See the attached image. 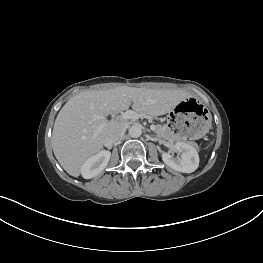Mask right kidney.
I'll list each match as a JSON object with an SVG mask.
<instances>
[{"mask_svg": "<svg viewBox=\"0 0 263 263\" xmlns=\"http://www.w3.org/2000/svg\"><path fill=\"white\" fill-rule=\"evenodd\" d=\"M111 152L102 150L96 155L88 158L81 167V174L85 179H91L99 175L107 166Z\"/></svg>", "mask_w": 263, "mask_h": 263, "instance_id": "obj_1", "label": "right kidney"}]
</instances>
